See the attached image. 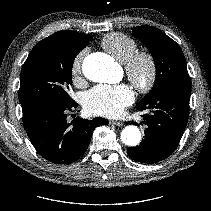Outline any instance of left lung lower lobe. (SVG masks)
I'll list each match as a JSON object with an SVG mask.
<instances>
[{
  "instance_id": "left-lung-lower-lobe-1",
  "label": "left lung lower lobe",
  "mask_w": 211,
  "mask_h": 211,
  "mask_svg": "<svg viewBox=\"0 0 211 211\" xmlns=\"http://www.w3.org/2000/svg\"><path fill=\"white\" fill-rule=\"evenodd\" d=\"M190 95V82L175 83L136 105L140 111H151L142 116V124L146 126L144 140L139 146L127 149L129 157L153 164L174 152L188 122Z\"/></svg>"
}]
</instances>
